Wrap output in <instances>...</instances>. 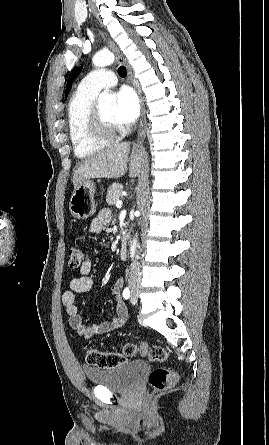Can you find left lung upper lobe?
Wrapping results in <instances>:
<instances>
[{
	"instance_id": "1",
	"label": "left lung upper lobe",
	"mask_w": 269,
	"mask_h": 445,
	"mask_svg": "<svg viewBox=\"0 0 269 445\" xmlns=\"http://www.w3.org/2000/svg\"><path fill=\"white\" fill-rule=\"evenodd\" d=\"M81 70H82V66L81 67H75L72 70L71 74L69 75V78H68V81H67V84H66V91H65L66 97H67L68 92H69V90H70V88L72 86L73 81L78 77V75L80 74Z\"/></svg>"
}]
</instances>
